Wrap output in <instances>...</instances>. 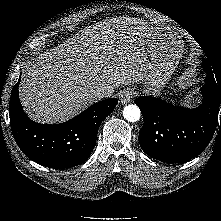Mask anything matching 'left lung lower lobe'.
<instances>
[{
	"label": "left lung lower lobe",
	"instance_id": "left-lung-lower-lobe-1",
	"mask_svg": "<svg viewBox=\"0 0 221 221\" xmlns=\"http://www.w3.org/2000/svg\"><path fill=\"white\" fill-rule=\"evenodd\" d=\"M205 72L207 76L201 89L203 102L197 108L178 107L150 96L135 99L144 118L139 144L148 156L183 164L207 147L219 119L221 125V117L218 118L221 84L216 82L213 72Z\"/></svg>",
	"mask_w": 221,
	"mask_h": 221
}]
</instances>
